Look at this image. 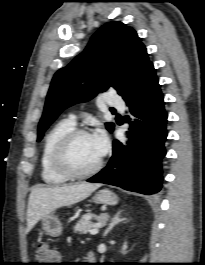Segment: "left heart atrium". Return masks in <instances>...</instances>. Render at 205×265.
Returning <instances> with one entry per match:
<instances>
[{"mask_svg": "<svg viewBox=\"0 0 205 265\" xmlns=\"http://www.w3.org/2000/svg\"><path fill=\"white\" fill-rule=\"evenodd\" d=\"M92 138L99 155L103 156L108 149V139L106 134L103 130L99 129L92 135Z\"/></svg>", "mask_w": 205, "mask_h": 265, "instance_id": "39dd6f15", "label": "left heart atrium"}]
</instances>
